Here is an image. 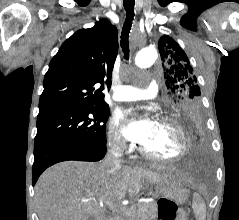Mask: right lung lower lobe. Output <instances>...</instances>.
Segmentation results:
<instances>
[{"label":"right lung lower lobe","instance_id":"obj_1","mask_svg":"<svg viewBox=\"0 0 239 220\" xmlns=\"http://www.w3.org/2000/svg\"><path fill=\"white\" fill-rule=\"evenodd\" d=\"M106 150V145L95 147L66 142L37 146L34 149L32 184L34 186L41 173L55 163L65 160L99 161Z\"/></svg>","mask_w":239,"mask_h":220}]
</instances>
